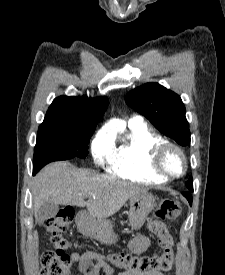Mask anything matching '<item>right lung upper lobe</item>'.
Listing matches in <instances>:
<instances>
[{"instance_id":"right-lung-upper-lobe-1","label":"right lung upper lobe","mask_w":225,"mask_h":275,"mask_svg":"<svg viewBox=\"0 0 225 275\" xmlns=\"http://www.w3.org/2000/svg\"><path fill=\"white\" fill-rule=\"evenodd\" d=\"M108 106L107 97L88 98L60 96L50 105L44 121H71L96 124Z\"/></svg>"}]
</instances>
